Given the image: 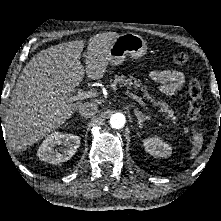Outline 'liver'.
I'll return each mask as SVG.
<instances>
[{
  "instance_id": "1",
  "label": "liver",
  "mask_w": 221,
  "mask_h": 221,
  "mask_svg": "<svg viewBox=\"0 0 221 221\" xmlns=\"http://www.w3.org/2000/svg\"><path fill=\"white\" fill-rule=\"evenodd\" d=\"M116 32H104L88 41L85 69L80 61L83 40L44 49L24 67L11 93L6 115L8 143L21 152L58 129L82 105L69 101L85 75L101 79L109 63V49Z\"/></svg>"
}]
</instances>
